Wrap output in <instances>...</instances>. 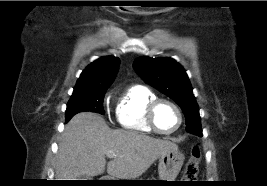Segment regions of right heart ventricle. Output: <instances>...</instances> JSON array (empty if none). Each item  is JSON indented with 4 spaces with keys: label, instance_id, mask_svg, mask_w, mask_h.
Here are the masks:
<instances>
[{
    "label": "right heart ventricle",
    "instance_id": "right-heart-ventricle-1",
    "mask_svg": "<svg viewBox=\"0 0 267 186\" xmlns=\"http://www.w3.org/2000/svg\"><path fill=\"white\" fill-rule=\"evenodd\" d=\"M156 94L142 85H135L119 99L116 106V120L123 130L151 134L153 130L145 119L146 107Z\"/></svg>",
    "mask_w": 267,
    "mask_h": 186
}]
</instances>
